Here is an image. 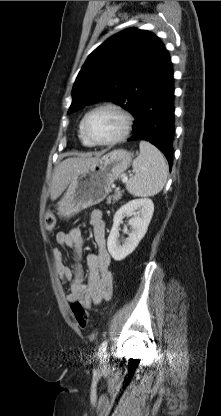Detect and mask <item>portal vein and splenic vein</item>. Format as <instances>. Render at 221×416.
Returning <instances> with one entry per match:
<instances>
[{
	"label": "portal vein and splenic vein",
	"instance_id": "18ae733b",
	"mask_svg": "<svg viewBox=\"0 0 221 416\" xmlns=\"http://www.w3.org/2000/svg\"><path fill=\"white\" fill-rule=\"evenodd\" d=\"M128 180V177L127 176H124L123 178H122V181L123 182H126Z\"/></svg>",
	"mask_w": 221,
	"mask_h": 416
}]
</instances>
